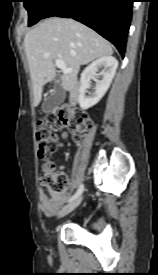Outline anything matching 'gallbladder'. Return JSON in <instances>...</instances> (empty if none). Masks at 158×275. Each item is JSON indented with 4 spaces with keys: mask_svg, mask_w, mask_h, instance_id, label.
Returning <instances> with one entry per match:
<instances>
[{
    "mask_svg": "<svg viewBox=\"0 0 158 275\" xmlns=\"http://www.w3.org/2000/svg\"><path fill=\"white\" fill-rule=\"evenodd\" d=\"M58 76L54 81L53 90L50 95L45 98L42 104V111L44 113H50L57 109V107L64 101L65 99V90L62 85L57 82Z\"/></svg>",
    "mask_w": 158,
    "mask_h": 275,
    "instance_id": "obj_1",
    "label": "gallbladder"
}]
</instances>
